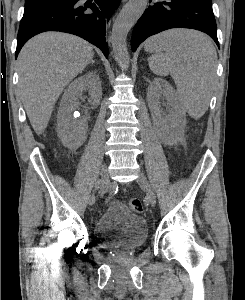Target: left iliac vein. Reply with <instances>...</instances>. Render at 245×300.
I'll return each mask as SVG.
<instances>
[{
  "label": "left iliac vein",
  "mask_w": 245,
  "mask_h": 300,
  "mask_svg": "<svg viewBox=\"0 0 245 300\" xmlns=\"http://www.w3.org/2000/svg\"><path fill=\"white\" fill-rule=\"evenodd\" d=\"M136 182L146 192L147 198H148L151 206L154 207L156 205V196L150 186V183H149L147 177L141 172V173H139V176L137 177Z\"/></svg>",
  "instance_id": "obj_1"
}]
</instances>
